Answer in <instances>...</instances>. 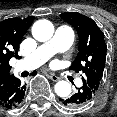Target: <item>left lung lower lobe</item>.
<instances>
[{
	"instance_id": "obj_1",
	"label": "left lung lower lobe",
	"mask_w": 117,
	"mask_h": 117,
	"mask_svg": "<svg viewBox=\"0 0 117 117\" xmlns=\"http://www.w3.org/2000/svg\"><path fill=\"white\" fill-rule=\"evenodd\" d=\"M95 93L86 84H83L79 90L73 94L71 97H66L64 99H59L63 105L69 108H78L89 104L94 98Z\"/></svg>"
}]
</instances>
